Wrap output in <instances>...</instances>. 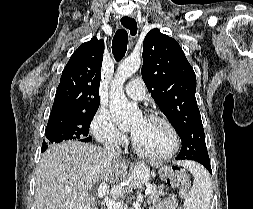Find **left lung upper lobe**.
<instances>
[{"mask_svg":"<svg viewBox=\"0 0 253 209\" xmlns=\"http://www.w3.org/2000/svg\"><path fill=\"white\" fill-rule=\"evenodd\" d=\"M142 78L182 140L180 160L209 159L195 98L196 75L178 42L155 28L143 42Z\"/></svg>","mask_w":253,"mask_h":209,"instance_id":"obj_1","label":"left lung upper lobe"}]
</instances>
